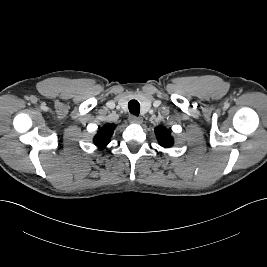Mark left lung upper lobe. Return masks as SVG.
I'll list each match as a JSON object with an SVG mask.
<instances>
[{
	"label": "left lung upper lobe",
	"mask_w": 267,
	"mask_h": 267,
	"mask_svg": "<svg viewBox=\"0 0 267 267\" xmlns=\"http://www.w3.org/2000/svg\"><path fill=\"white\" fill-rule=\"evenodd\" d=\"M155 133L157 140L162 147L169 148L173 145L174 142L168 129L160 126L155 129Z\"/></svg>",
	"instance_id": "1"
}]
</instances>
